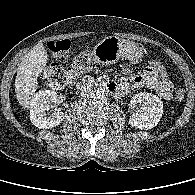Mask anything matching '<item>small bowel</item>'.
I'll return each mask as SVG.
<instances>
[{
	"label": "small bowel",
	"instance_id": "c3829d8e",
	"mask_svg": "<svg viewBox=\"0 0 195 195\" xmlns=\"http://www.w3.org/2000/svg\"><path fill=\"white\" fill-rule=\"evenodd\" d=\"M123 72L131 75V84L123 83L118 87L117 96H124L128 93L131 86L142 88L146 87L155 91L162 99L170 100L172 97V84L166 80H160L151 75L146 70L143 73H136L130 67H124Z\"/></svg>",
	"mask_w": 195,
	"mask_h": 195
}]
</instances>
